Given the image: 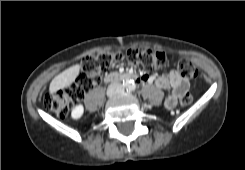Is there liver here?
<instances>
[{"instance_id": "obj_1", "label": "liver", "mask_w": 245, "mask_h": 170, "mask_svg": "<svg viewBox=\"0 0 245 170\" xmlns=\"http://www.w3.org/2000/svg\"><path fill=\"white\" fill-rule=\"evenodd\" d=\"M79 71L80 65L76 64L54 77V79L50 83V93L53 94L60 89L70 86L79 75Z\"/></svg>"}]
</instances>
